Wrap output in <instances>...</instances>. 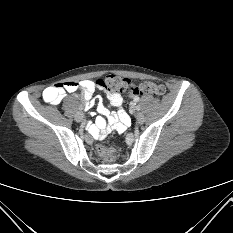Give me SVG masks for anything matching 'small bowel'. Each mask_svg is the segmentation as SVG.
<instances>
[{"label": "small bowel", "instance_id": "c3829d8e", "mask_svg": "<svg viewBox=\"0 0 233 233\" xmlns=\"http://www.w3.org/2000/svg\"><path fill=\"white\" fill-rule=\"evenodd\" d=\"M96 87L102 90L104 97L108 98L110 106H106L102 101L98 102L97 111L100 116L96 118L95 124L89 128L90 134L94 138H101L108 136L112 131L123 132L130 125V117L123 109V97L117 92L108 90V84L102 80L69 81L54 84L43 91L42 98L46 103L59 105L66 93L81 90L83 106L88 110L94 105ZM110 107L116 108V111H111Z\"/></svg>", "mask_w": 233, "mask_h": 233}]
</instances>
